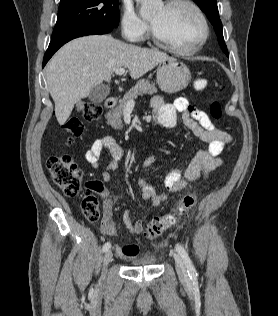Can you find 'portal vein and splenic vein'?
Segmentation results:
<instances>
[{
	"label": "portal vein and splenic vein",
	"mask_w": 278,
	"mask_h": 316,
	"mask_svg": "<svg viewBox=\"0 0 278 316\" xmlns=\"http://www.w3.org/2000/svg\"><path fill=\"white\" fill-rule=\"evenodd\" d=\"M115 73H116L117 75H123V74L125 73V69H124V68L116 69V70H115ZM128 103H129V104H134L135 102H134V100H130Z\"/></svg>",
	"instance_id": "portal-vein-and-splenic-vein-1"
}]
</instances>
